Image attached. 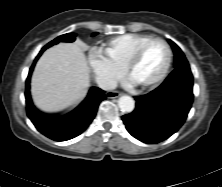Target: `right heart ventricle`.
Returning <instances> with one entry per match:
<instances>
[{
	"label": "right heart ventricle",
	"instance_id": "obj_1",
	"mask_svg": "<svg viewBox=\"0 0 222 187\" xmlns=\"http://www.w3.org/2000/svg\"><path fill=\"white\" fill-rule=\"evenodd\" d=\"M147 38L149 37L139 34H125L111 38L104 45L105 56L123 69L133 50Z\"/></svg>",
	"mask_w": 222,
	"mask_h": 187
}]
</instances>
